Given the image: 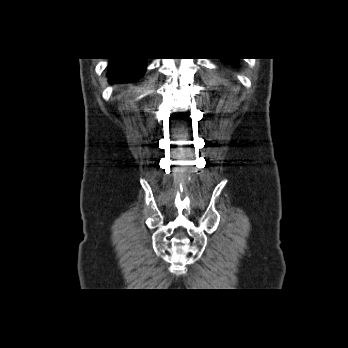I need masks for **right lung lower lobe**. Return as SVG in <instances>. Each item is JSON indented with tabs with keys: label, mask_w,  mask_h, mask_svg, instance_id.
Instances as JSON below:
<instances>
[{
	"label": "right lung lower lobe",
	"mask_w": 348,
	"mask_h": 348,
	"mask_svg": "<svg viewBox=\"0 0 348 348\" xmlns=\"http://www.w3.org/2000/svg\"><path fill=\"white\" fill-rule=\"evenodd\" d=\"M145 68V58L110 59L108 78L111 83L135 81Z\"/></svg>",
	"instance_id": "98d812e1"
}]
</instances>
